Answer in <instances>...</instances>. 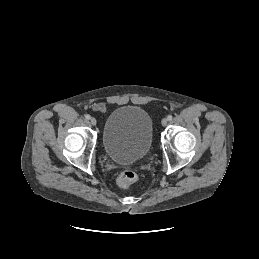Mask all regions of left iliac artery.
Returning a JSON list of instances; mask_svg holds the SVG:
<instances>
[{
  "label": "left iliac artery",
  "mask_w": 259,
  "mask_h": 259,
  "mask_svg": "<svg viewBox=\"0 0 259 259\" xmlns=\"http://www.w3.org/2000/svg\"><path fill=\"white\" fill-rule=\"evenodd\" d=\"M172 118H173L172 115H168V116H167V120H168V121H171Z\"/></svg>",
  "instance_id": "44dca946"
}]
</instances>
